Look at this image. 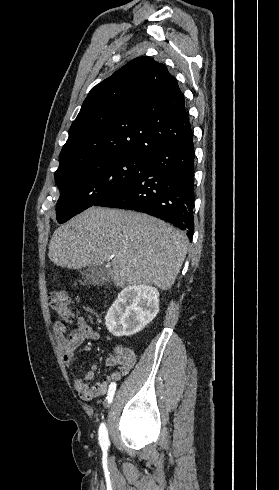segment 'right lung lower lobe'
Instances as JSON below:
<instances>
[{"label": "right lung lower lobe", "mask_w": 279, "mask_h": 490, "mask_svg": "<svg viewBox=\"0 0 279 490\" xmlns=\"http://www.w3.org/2000/svg\"><path fill=\"white\" fill-rule=\"evenodd\" d=\"M194 158L192 135L152 156L141 176L106 195L94 206L147 213L184 230L192 239Z\"/></svg>", "instance_id": "right-lung-lower-lobe-1"}]
</instances>
